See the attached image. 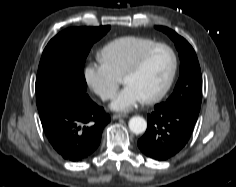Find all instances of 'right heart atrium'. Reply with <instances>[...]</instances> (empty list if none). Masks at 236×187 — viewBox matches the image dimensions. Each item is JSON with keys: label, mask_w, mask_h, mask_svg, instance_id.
Instances as JSON below:
<instances>
[{"label": "right heart atrium", "mask_w": 236, "mask_h": 187, "mask_svg": "<svg viewBox=\"0 0 236 187\" xmlns=\"http://www.w3.org/2000/svg\"><path fill=\"white\" fill-rule=\"evenodd\" d=\"M83 75L88 87L102 100L107 101L115 96L120 79L101 63H88Z\"/></svg>", "instance_id": "d8ad5b80"}]
</instances>
